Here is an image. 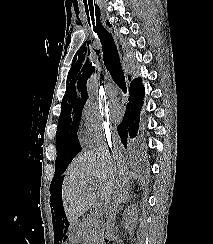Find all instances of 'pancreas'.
Listing matches in <instances>:
<instances>
[{
	"instance_id": "cf45deb5",
	"label": "pancreas",
	"mask_w": 213,
	"mask_h": 244,
	"mask_svg": "<svg viewBox=\"0 0 213 244\" xmlns=\"http://www.w3.org/2000/svg\"><path fill=\"white\" fill-rule=\"evenodd\" d=\"M86 242L89 244H98L101 234L102 227L98 218L89 219L82 228Z\"/></svg>"
}]
</instances>
